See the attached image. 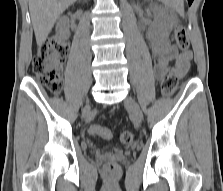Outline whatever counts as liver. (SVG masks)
<instances>
[{"label":"liver","mask_w":223,"mask_h":191,"mask_svg":"<svg viewBox=\"0 0 223 191\" xmlns=\"http://www.w3.org/2000/svg\"><path fill=\"white\" fill-rule=\"evenodd\" d=\"M76 0H29V11L37 45L40 47L58 17Z\"/></svg>","instance_id":"obj_1"}]
</instances>
